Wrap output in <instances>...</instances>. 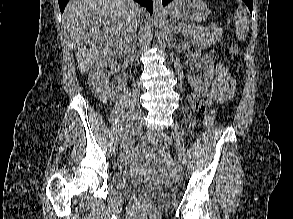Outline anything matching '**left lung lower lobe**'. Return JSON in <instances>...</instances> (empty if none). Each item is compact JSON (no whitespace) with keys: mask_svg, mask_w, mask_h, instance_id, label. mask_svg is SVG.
Returning <instances> with one entry per match:
<instances>
[{"mask_svg":"<svg viewBox=\"0 0 293 219\" xmlns=\"http://www.w3.org/2000/svg\"><path fill=\"white\" fill-rule=\"evenodd\" d=\"M172 0H162L163 5L166 6L169 2ZM243 2L248 6L251 14H252V9H253V0H243Z\"/></svg>","mask_w":293,"mask_h":219,"instance_id":"1","label":"left lung lower lobe"}]
</instances>
